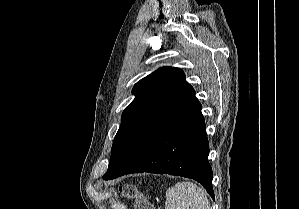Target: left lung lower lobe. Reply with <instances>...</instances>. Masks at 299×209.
Instances as JSON below:
<instances>
[{
	"mask_svg": "<svg viewBox=\"0 0 299 209\" xmlns=\"http://www.w3.org/2000/svg\"><path fill=\"white\" fill-rule=\"evenodd\" d=\"M201 108L193 87L188 85L136 130L103 179L138 172L184 176L200 182L214 199Z\"/></svg>",
	"mask_w": 299,
	"mask_h": 209,
	"instance_id": "left-lung-lower-lobe-1",
	"label": "left lung lower lobe"
}]
</instances>
